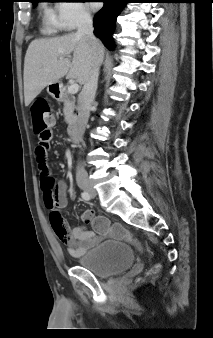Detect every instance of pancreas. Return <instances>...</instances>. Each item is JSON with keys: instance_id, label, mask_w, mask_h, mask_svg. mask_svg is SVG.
Segmentation results:
<instances>
[{"instance_id": "1", "label": "pancreas", "mask_w": 213, "mask_h": 338, "mask_svg": "<svg viewBox=\"0 0 213 338\" xmlns=\"http://www.w3.org/2000/svg\"><path fill=\"white\" fill-rule=\"evenodd\" d=\"M61 101L64 104L63 112L65 116V121L68 124V132L71 133V130L74 128L77 121V117L74 114L75 101L68 91L63 92V97Z\"/></svg>"}]
</instances>
